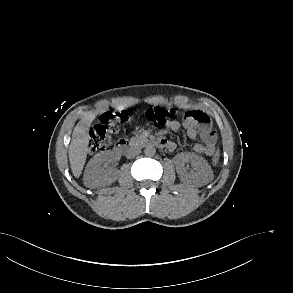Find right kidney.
<instances>
[{
    "instance_id": "ca27d5eb",
    "label": "right kidney",
    "mask_w": 293,
    "mask_h": 293,
    "mask_svg": "<svg viewBox=\"0 0 293 293\" xmlns=\"http://www.w3.org/2000/svg\"><path fill=\"white\" fill-rule=\"evenodd\" d=\"M109 161L107 154L95 155L87 164L84 173V185L89 188H98L112 184L117 179V172L106 170L104 164Z\"/></svg>"
}]
</instances>
